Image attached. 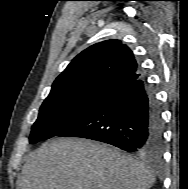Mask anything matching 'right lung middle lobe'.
<instances>
[{
    "mask_svg": "<svg viewBox=\"0 0 188 189\" xmlns=\"http://www.w3.org/2000/svg\"><path fill=\"white\" fill-rule=\"evenodd\" d=\"M111 91L90 89L49 95L32 126L29 142L34 144L58 135L78 122L92 107Z\"/></svg>",
    "mask_w": 188,
    "mask_h": 189,
    "instance_id": "obj_1",
    "label": "right lung middle lobe"
}]
</instances>
